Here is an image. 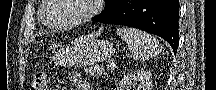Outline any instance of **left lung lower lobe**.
I'll list each match as a JSON object with an SVG mask.
<instances>
[{
    "mask_svg": "<svg viewBox=\"0 0 216 90\" xmlns=\"http://www.w3.org/2000/svg\"><path fill=\"white\" fill-rule=\"evenodd\" d=\"M178 0H120L92 20L138 28L165 39L176 54L179 43Z\"/></svg>",
    "mask_w": 216,
    "mask_h": 90,
    "instance_id": "left-lung-lower-lobe-1",
    "label": "left lung lower lobe"
}]
</instances>
